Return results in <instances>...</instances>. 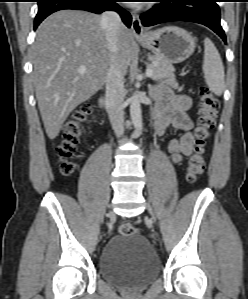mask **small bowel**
I'll use <instances>...</instances> for the list:
<instances>
[{"mask_svg": "<svg viewBox=\"0 0 248 299\" xmlns=\"http://www.w3.org/2000/svg\"><path fill=\"white\" fill-rule=\"evenodd\" d=\"M154 97L158 113L155 121L157 133L163 134L169 127L184 131L181 137L172 139L168 145L173 162L179 163L184 157L191 155L194 149L193 123L188 113L192 105L191 99L166 84H159L154 88Z\"/></svg>", "mask_w": 248, "mask_h": 299, "instance_id": "1", "label": "small bowel"}]
</instances>
